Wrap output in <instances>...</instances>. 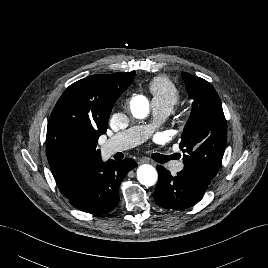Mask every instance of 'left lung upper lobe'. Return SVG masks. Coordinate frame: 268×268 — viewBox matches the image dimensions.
Wrapping results in <instances>:
<instances>
[{
	"label": "left lung upper lobe",
	"mask_w": 268,
	"mask_h": 268,
	"mask_svg": "<svg viewBox=\"0 0 268 268\" xmlns=\"http://www.w3.org/2000/svg\"><path fill=\"white\" fill-rule=\"evenodd\" d=\"M189 97L191 115L181 136L182 171L209 184L216 175L226 148L227 128L222 105L213 86L206 80L182 73Z\"/></svg>",
	"instance_id": "obj_1"
}]
</instances>
